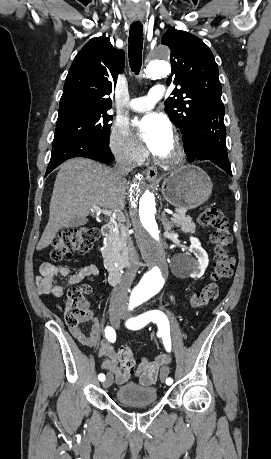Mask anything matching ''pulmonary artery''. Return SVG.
Listing matches in <instances>:
<instances>
[{
    "instance_id": "1",
    "label": "pulmonary artery",
    "mask_w": 271,
    "mask_h": 459,
    "mask_svg": "<svg viewBox=\"0 0 271 459\" xmlns=\"http://www.w3.org/2000/svg\"><path fill=\"white\" fill-rule=\"evenodd\" d=\"M156 89H150L146 97H140L129 102V108L135 112L150 111L155 104L159 103V98L162 97L163 92L161 88L164 87L163 83H157Z\"/></svg>"
}]
</instances>
